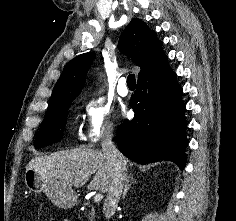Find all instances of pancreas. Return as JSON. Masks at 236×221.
<instances>
[{"mask_svg": "<svg viewBox=\"0 0 236 221\" xmlns=\"http://www.w3.org/2000/svg\"><path fill=\"white\" fill-rule=\"evenodd\" d=\"M88 218H89V221H95L96 214H95V209L93 206H91V211H89Z\"/></svg>", "mask_w": 236, "mask_h": 221, "instance_id": "pancreas-1", "label": "pancreas"}]
</instances>
